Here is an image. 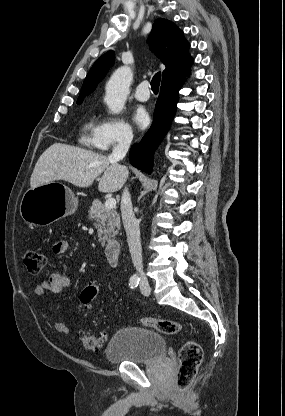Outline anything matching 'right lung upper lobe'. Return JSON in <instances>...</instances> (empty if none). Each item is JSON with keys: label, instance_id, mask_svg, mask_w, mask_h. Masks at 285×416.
I'll use <instances>...</instances> for the list:
<instances>
[{"label": "right lung upper lobe", "instance_id": "1", "mask_svg": "<svg viewBox=\"0 0 285 416\" xmlns=\"http://www.w3.org/2000/svg\"><path fill=\"white\" fill-rule=\"evenodd\" d=\"M150 49L166 66L163 71L162 84L189 72L193 58L189 55L190 44L183 37V32L173 23L158 18L153 24L148 37ZM114 52L108 51L102 55L92 66L84 80L77 103L80 104L86 95H89L98 82L106 75L114 63Z\"/></svg>", "mask_w": 285, "mask_h": 416}]
</instances>
